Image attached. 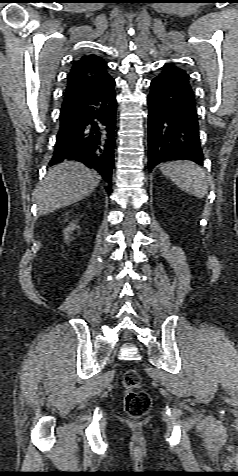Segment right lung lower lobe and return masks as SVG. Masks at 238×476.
Segmentation results:
<instances>
[{
	"label": "right lung lower lobe",
	"mask_w": 238,
	"mask_h": 476,
	"mask_svg": "<svg viewBox=\"0 0 238 476\" xmlns=\"http://www.w3.org/2000/svg\"><path fill=\"white\" fill-rule=\"evenodd\" d=\"M115 82H107L83 101L60 110V128L51 165L65 159L98 171L111 186L116 128Z\"/></svg>",
	"instance_id": "right-lung-lower-lobe-1"
}]
</instances>
